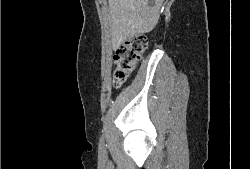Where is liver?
<instances>
[{"instance_id": "obj_1", "label": "liver", "mask_w": 250, "mask_h": 169, "mask_svg": "<svg viewBox=\"0 0 250 169\" xmlns=\"http://www.w3.org/2000/svg\"><path fill=\"white\" fill-rule=\"evenodd\" d=\"M112 46L118 48L125 38L150 32L160 18L163 0H108Z\"/></svg>"}]
</instances>
